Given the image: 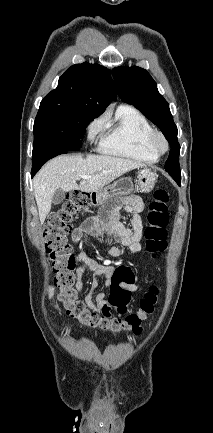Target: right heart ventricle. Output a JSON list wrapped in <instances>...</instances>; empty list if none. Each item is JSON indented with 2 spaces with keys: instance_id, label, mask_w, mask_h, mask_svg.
Here are the masks:
<instances>
[{
  "instance_id": "1",
  "label": "right heart ventricle",
  "mask_w": 213,
  "mask_h": 433,
  "mask_svg": "<svg viewBox=\"0 0 213 433\" xmlns=\"http://www.w3.org/2000/svg\"><path fill=\"white\" fill-rule=\"evenodd\" d=\"M102 129L100 152L147 163L158 160L159 155L149 142L154 129L133 107L119 106L112 120L103 121Z\"/></svg>"
}]
</instances>
